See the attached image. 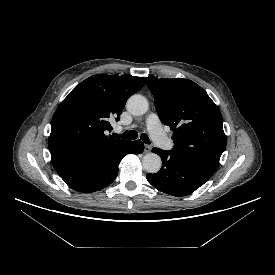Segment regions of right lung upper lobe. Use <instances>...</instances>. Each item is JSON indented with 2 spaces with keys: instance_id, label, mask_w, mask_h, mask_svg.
Returning <instances> with one entry per match:
<instances>
[{
  "instance_id": "1",
  "label": "right lung upper lobe",
  "mask_w": 275,
  "mask_h": 275,
  "mask_svg": "<svg viewBox=\"0 0 275 275\" xmlns=\"http://www.w3.org/2000/svg\"><path fill=\"white\" fill-rule=\"evenodd\" d=\"M144 84L143 77L97 74L70 92L53 115L48 138L60 177L96 165L130 142L107 136L106 131L111 130L110 119H119L127 99Z\"/></svg>"
}]
</instances>
